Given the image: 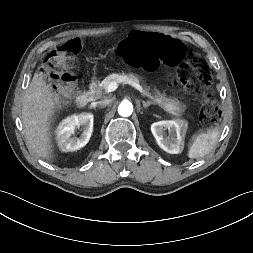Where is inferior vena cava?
I'll list each match as a JSON object with an SVG mask.
<instances>
[{"mask_svg":"<svg viewBox=\"0 0 253 253\" xmlns=\"http://www.w3.org/2000/svg\"><path fill=\"white\" fill-rule=\"evenodd\" d=\"M109 103H110V100H109V99L101 100V101L98 102V104H99L100 106H105V105H107V104H109Z\"/></svg>","mask_w":253,"mask_h":253,"instance_id":"obj_1","label":"inferior vena cava"}]
</instances>
